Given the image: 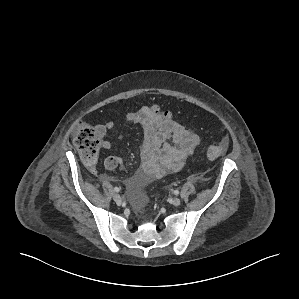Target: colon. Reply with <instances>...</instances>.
I'll return each instance as SVG.
<instances>
[{
	"label": "colon",
	"mask_w": 299,
	"mask_h": 299,
	"mask_svg": "<svg viewBox=\"0 0 299 299\" xmlns=\"http://www.w3.org/2000/svg\"><path fill=\"white\" fill-rule=\"evenodd\" d=\"M156 112L169 121H175L174 115L168 110H162L157 106H152ZM74 143L77 147L83 162L89 167L94 168L99 150L102 146V138L97 130L86 122H78L74 129ZM228 149V142L220 140L211 144L207 150V156L210 159L218 158L224 155Z\"/></svg>",
	"instance_id": "1"
}]
</instances>
